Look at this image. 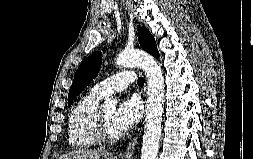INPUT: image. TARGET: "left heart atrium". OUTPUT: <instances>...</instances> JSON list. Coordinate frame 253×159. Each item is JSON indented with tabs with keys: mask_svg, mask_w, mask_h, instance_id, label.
<instances>
[{
	"mask_svg": "<svg viewBox=\"0 0 253 159\" xmlns=\"http://www.w3.org/2000/svg\"><path fill=\"white\" fill-rule=\"evenodd\" d=\"M142 105L139 98H124L115 110L113 124L118 134H123L132 128L140 119Z\"/></svg>",
	"mask_w": 253,
	"mask_h": 159,
	"instance_id": "obj_1",
	"label": "left heart atrium"
}]
</instances>
